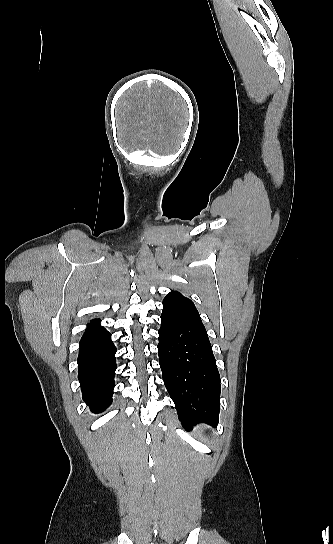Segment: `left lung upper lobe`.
<instances>
[{"label": "left lung upper lobe", "instance_id": "1", "mask_svg": "<svg viewBox=\"0 0 333 544\" xmlns=\"http://www.w3.org/2000/svg\"><path fill=\"white\" fill-rule=\"evenodd\" d=\"M172 292H174V293H179L178 291H172Z\"/></svg>", "mask_w": 333, "mask_h": 544}]
</instances>
